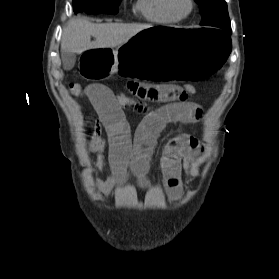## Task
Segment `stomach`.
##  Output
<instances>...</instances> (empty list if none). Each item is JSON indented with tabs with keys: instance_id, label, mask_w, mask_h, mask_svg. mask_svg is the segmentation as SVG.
<instances>
[{
	"instance_id": "0dacf381",
	"label": "stomach",
	"mask_w": 279,
	"mask_h": 279,
	"mask_svg": "<svg viewBox=\"0 0 279 279\" xmlns=\"http://www.w3.org/2000/svg\"><path fill=\"white\" fill-rule=\"evenodd\" d=\"M224 39L229 34L206 28L148 25L117 48L81 50L75 75L83 82H105L120 73L136 75V79L161 82V87H171V82H214L232 55L227 49L233 46Z\"/></svg>"
}]
</instances>
